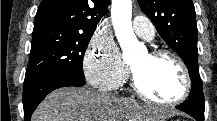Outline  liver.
I'll list each match as a JSON object with an SVG mask.
<instances>
[{
    "label": "liver",
    "instance_id": "6515ba94",
    "mask_svg": "<svg viewBox=\"0 0 217 121\" xmlns=\"http://www.w3.org/2000/svg\"><path fill=\"white\" fill-rule=\"evenodd\" d=\"M157 114L135 101L64 87L51 92L37 107L32 121H154Z\"/></svg>",
    "mask_w": 217,
    "mask_h": 121
}]
</instances>
